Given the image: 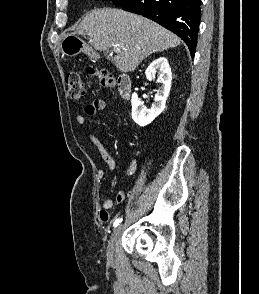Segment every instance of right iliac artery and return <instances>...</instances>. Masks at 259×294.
Here are the masks:
<instances>
[{
  "instance_id": "right-iliac-artery-1",
  "label": "right iliac artery",
  "mask_w": 259,
  "mask_h": 294,
  "mask_svg": "<svg viewBox=\"0 0 259 294\" xmlns=\"http://www.w3.org/2000/svg\"><path fill=\"white\" fill-rule=\"evenodd\" d=\"M121 222H122V218H118V219H116V220L114 221L113 226H114V227H117Z\"/></svg>"
}]
</instances>
